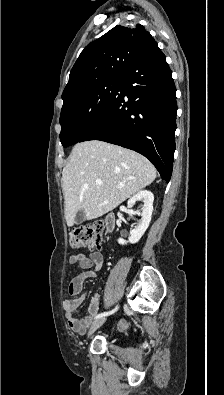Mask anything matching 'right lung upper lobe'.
<instances>
[{
    "instance_id": "cb5924a9",
    "label": "right lung upper lobe",
    "mask_w": 224,
    "mask_h": 395,
    "mask_svg": "<svg viewBox=\"0 0 224 395\" xmlns=\"http://www.w3.org/2000/svg\"><path fill=\"white\" fill-rule=\"evenodd\" d=\"M149 40L154 41L140 24L134 28L117 25L88 44L70 72L62 99L98 81L122 77Z\"/></svg>"
}]
</instances>
